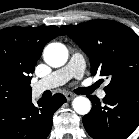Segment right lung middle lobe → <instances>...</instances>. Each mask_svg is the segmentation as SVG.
<instances>
[{
	"mask_svg": "<svg viewBox=\"0 0 139 139\" xmlns=\"http://www.w3.org/2000/svg\"><path fill=\"white\" fill-rule=\"evenodd\" d=\"M30 81L13 64L0 59V106L31 96Z\"/></svg>",
	"mask_w": 139,
	"mask_h": 139,
	"instance_id": "right-lung-middle-lobe-1",
	"label": "right lung middle lobe"
}]
</instances>
